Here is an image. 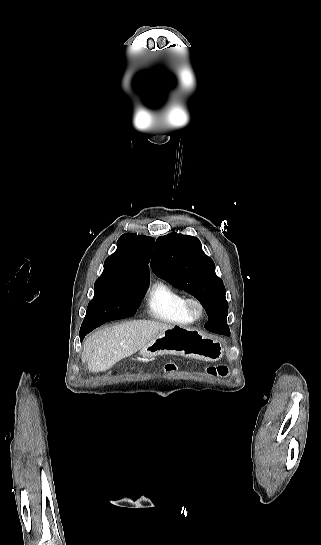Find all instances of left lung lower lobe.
Wrapping results in <instances>:
<instances>
[{"mask_svg": "<svg viewBox=\"0 0 321 545\" xmlns=\"http://www.w3.org/2000/svg\"><path fill=\"white\" fill-rule=\"evenodd\" d=\"M208 322L205 324V328L211 332L215 333H225L229 331L227 325V315H224L219 310H208Z\"/></svg>", "mask_w": 321, "mask_h": 545, "instance_id": "0a47b994", "label": "left lung lower lobe"}]
</instances>
